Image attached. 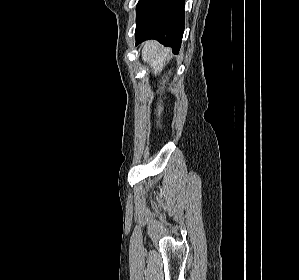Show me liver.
<instances>
[{"label": "liver", "mask_w": 299, "mask_h": 280, "mask_svg": "<svg viewBox=\"0 0 299 280\" xmlns=\"http://www.w3.org/2000/svg\"><path fill=\"white\" fill-rule=\"evenodd\" d=\"M170 49L162 48L156 41H147L142 48V59L148 62L153 70L154 75L160 74L163 70L166 57L169 55ZM165 83V81H163ZM163 111L161 105L158 106V116Z\"/></svg>", "instance_id": "obj_1"}]
</instances>
